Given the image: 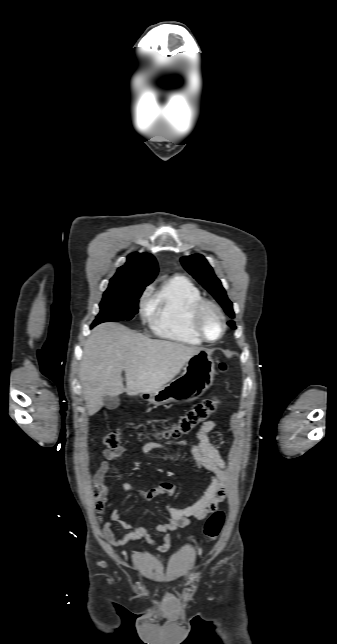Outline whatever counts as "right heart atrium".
<instances>
[{"label":"right heart atrium","mask_w":337,"mask_h":644,"mask_svg":"<svg viewBox=\"0 0 337 644\" xmlns=\"http://www.w3.org/2000/svg\"><path fill=\"white\" fill-rule=\"evenodd\" d=\"M146 299H147V294H146V295L144 296V298H143V302H144V303H145ZM147 310H148V309H147V308H145V311H147Z\"/></svg>","instance_id":"d8ad5b80"}]
</instances>
